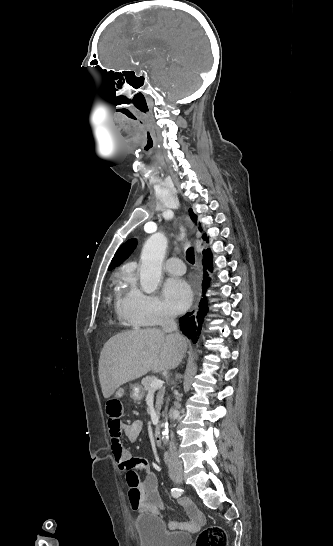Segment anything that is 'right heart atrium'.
<instances>
[{
    "label": "right heart atrium",
    "instance_id": "right-heart-atrium-1",
    "mask_svg": "<svg viewBox=\"0 0 333 546\" xmlns=\"http://www.w3.org/2000/svg\"><path fill=\"white\" fill-rule=\"evenodd\" d=\"M124 309L126 316L139 325H157L171 319L170 312L157 296L144 293L133 283Z\"/></svg>",
    "mask_w": 333,
    "mask_h": 546
}]
</instances>
